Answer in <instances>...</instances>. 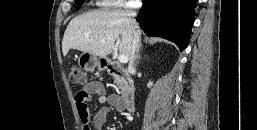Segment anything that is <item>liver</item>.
I'll use <instances>...</instances> for the list:
<instances>
[{"mask_svg":"<svg viewBox=\"0 0 257 130\" xmlns=\"http://www.w3.org/2000/svg\"><path fill=\"white\" fill-rule=\"evenodd\" d=\"M121 36L120 55L128 58L131 53L130 18L122 11L97 10L73 18L68 24L62 40V52L66 56L70 49L106 57Z\"/></svg>","mask_w":257,"mask_h":130,"instance_id":"obj_1","label":"liver"}]
</instances>
